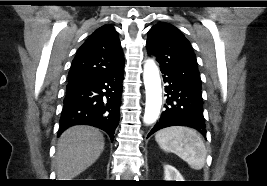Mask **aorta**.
Segmentation results:
<instances>
[{"instance_id":"aorta-1","label":"aorta","mask_w":267,"mask_h":186,"mask_svg":"<svg viewBox=\"0 0 267 186\" xmlns=\"http://www.w3.org/2000/svg\"><path fill=\"white\" fill-rule=\"evenodd\" d=\"M143 79L146 90L144 123L149 125L158 119L162 105L159 69L153 60L145 62Z\"/></svg>"}]
</instances>
